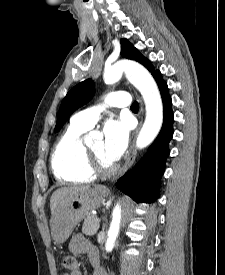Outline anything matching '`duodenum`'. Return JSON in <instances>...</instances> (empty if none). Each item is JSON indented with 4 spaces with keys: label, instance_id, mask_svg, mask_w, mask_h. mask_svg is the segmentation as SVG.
<instances>
[{
    "label": "duodenum",
    "instance_id": "1",
    "mask_svg": "<svg viewBox=\"0 0 225 275\" xmlns=\"http://www.w3.org/2000/svg\"><path fill=\"white\" fill-rule=\"evenodd\" d=\"M92 264H93L94 267H98L99 261H94V262H92Z\"/></svg>",
    "mask_w": 225,
    "mask_h": 275
}]
</instances>
